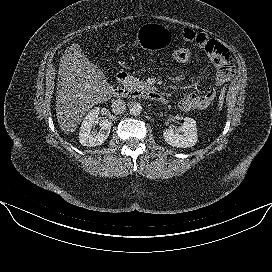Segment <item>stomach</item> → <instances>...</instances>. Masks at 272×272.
I'll list each match as a JSON object with an SVG mask.
<instances>
[{"instance_id":"obj_1","label":"stomach","mask_w":272,"mask_h":272,"mask_svg":"<svg viewBox=\"0 0 272 272\" xmlns=\"http://www.w3.org/2000/svg\"><path fill=\"white\" fill-rule=\"evenodd\" d=\"M171 39V33L167 26L158 23H146L138 28L135 46L154 51L165 47Z\"/></svg>"}]
</instances>
